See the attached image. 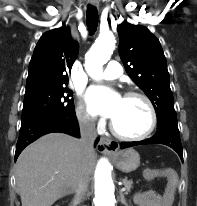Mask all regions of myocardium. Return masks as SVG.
Masks as SVG:
<instances>
[{
	"instance_id": "f54148a6",
	"label": "myocardium",
	"mask_w": 197,
	"mask_h": 206,
	"mask_svg": "<svg viewBox=\"0 0 197 206\" xmlns=\"http://www.w3.org/2000/svg\"><path fill=\"white\" fill-rule=\"evenodd\" d=\"M131 97L139 98V99L143 100L144 103L146 104L148 110H149L150 123H149V126L146 129V131H144L143 133L138 134V135L124 134L116 128L113 120L110 121L109 127H110L111 132L116 137H118L120 139L133 140V141L143 140V139L149 137L153 133V131L155 130V128L157 126V120H158L157 119V112H156V109H155L153 102L151 101V99L147 95H145L141 92H138V91H128L123 95V98H131Z\"/></svg>"
}]
</instances>
